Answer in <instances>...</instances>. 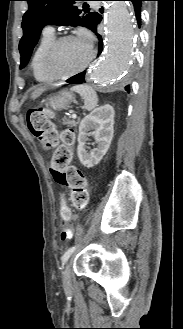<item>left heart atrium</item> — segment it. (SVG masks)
<instances>
[{"label":"left heart atrium","mask_w":183,"mask_h":329,"mask_svg":"<svg viewBox=\"0 0 183 329\" xmlns=\"http://www.w3.org/2000/svg\"><path fill=\"white\" fill-rule=\"evenodd\" d=\"M78 39L87 46L91 45V36L86 30L80 31Z\"/></svg>","instance_id":"39dd6f15"}]
</instances>
